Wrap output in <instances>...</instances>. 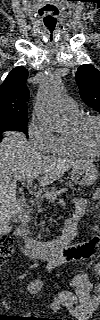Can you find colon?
Returning <instances> with one entry per match:
<instances>
[{"label": "colon", "mask_w": 100, "mask_h": 320, "mask_svg": "<svg viewBox=\"0 0 100 320\" xmlns=\"http://www.w3.org/2000/svg\"><path fill=\"white\" fill-rule=\"evenodd\" d=\"M98 238L94 237L91 240L85 243L87 250L82 253L69 252L66 256V260L72 261L77 258L85 259L91 257L96 250ZM14 240L11 236H3L1 239L0 245V263L3 265L7 262V259L11 256L13 252ZM53 320H62V319H53Z\"/></svg>", "instance_id": "colon-1"}]
</instances>
